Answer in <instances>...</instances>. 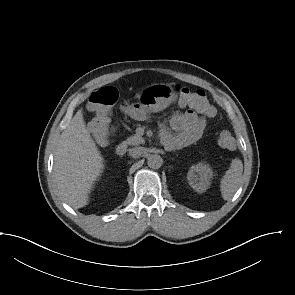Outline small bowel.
I'll return each instance as SVG.
<instances>
[{
  "label": "small bowel",
  "mask_w": 295,
  "mask_h": 295,
  "mask_svg": "<svg viewBox=\"0 0 295 295\" xmlns=\"http://www.w3.org/2000/svg\"><path fill=\"white\" fill-rule=\"evenodd\" d=\"M122 110L135 119L141 120L145 117V111L133 103H124ZM205 125V119L192 110L176 111L170 117V128L161 126L160 136L168 148L180 149L197 141L202 136Z\"/></svg>",
  "instance_id": "c3829d8e"
}]
</instances>
